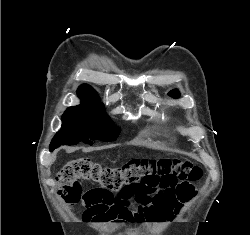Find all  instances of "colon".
<instances>
[{
    "label": "colon",
    "mask_w": 250,
    "mask_h": 235,
    "mask_svg": "<svg viewBox=\"0 0 250 235\" xmlns=\"http://www.w3.org/2000/svg\"><path fill=\"white\" fill-rule=\"evenodd\" d=\"M201 178L200 167L183 159H133L119 167H110L90 157H81L63 166L57 182L60 198L68 206L82 201L86 208L84 217L90 222L124 225L146 222L143 214L129 206L139 191L175 187L178 197L187 201L194 196V184ZM80 180L101 187L82 194Z\"/></svg>",
    "instance_id": "5ec220e1"
}]
</instances>
